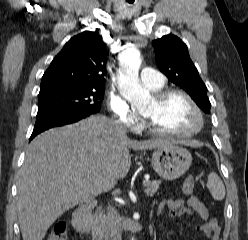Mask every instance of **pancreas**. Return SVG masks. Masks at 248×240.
Wrapping results in <instances>:
<instances>
[{
    "instance_id": "cf45deb5",
    "label": "pancreas",
    "mask_w": 248,
    "mask_h": 240,
    "mask_svg": "<svg viewBox=\"0 0 248 240\" xmlns=\"http://www.w3.org/2000/svg\"><path fill=\"white\" fill-rule=\"evenodd\" d=\"M160 184H161L160 180L146 181L144 185L146 195L152 197L157 192ZM92 225H93L92 227L93 235H96L97 237H101L105 233L107 219L103 211L98 210L93 215Z\"/></svg>"
}]
</instances>
